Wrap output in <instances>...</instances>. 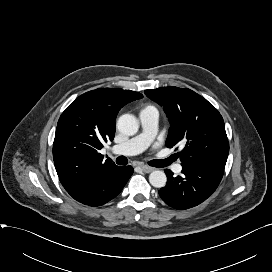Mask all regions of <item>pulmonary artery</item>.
Returning a JSON list of instances; mask_svg holds the SVG:
<instances>
[{
    "instance_id": "e3ab8cb5",
    "label": "pulmonary artery",
    "mask_w": 272,
    "mask_h": 272,
    "mask_svg": "<svg viewBox=\"0 0 272 272\" xmlns=\"http://www.w3.org/2000/svg\"><path fill=\"white\" fill-rule=\"evenodd\" d=\"M139 120L142 127L141 133L122 144L113 146L111 148L113 154L125 156L136 155L144 151L152 143L158 129L159 114L157 109L154 107L142 109L139 113ZM173 170L176 173H180L182 165H174Z\"/></svg>"
}]
</instances>
